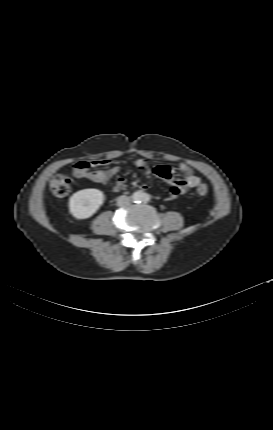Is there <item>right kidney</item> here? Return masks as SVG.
Listing matches in <instances>:
<instances>
[{
	"instance_id": "right-kidney-1",
	"label": "right kidney",
	"mask_w": 273,
	"mask_h": 430,
	"mask_svg": "<svg viewBox=\"0 0 273 430\" xmlns=\"http://www.w3.org/2000/svg\"><path fill=\"white\" fill-rule=\"evenodd\" d=\"M105 199L98 189H83L69 199V211L76 219H87L97 212Z\"/></svg>"
}]
</instances>
